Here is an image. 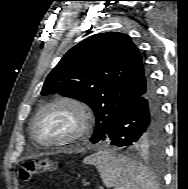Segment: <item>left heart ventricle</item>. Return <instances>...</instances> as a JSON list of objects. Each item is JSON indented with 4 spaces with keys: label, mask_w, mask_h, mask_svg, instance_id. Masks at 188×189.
<instances>
[{
    "label": "left heart ventricle",
    "mask_w": 188,
    "mask_h": 189,
    "mask_svg": "<svg viewBox=\"0 0 188 189\" xmlns=\"http://www.w3.org/2000/svg\"><path fill=\"white\" fill-rule=\"evenodd\" d=\"M76 115L68 108H52L44 112L36 125L40 140L51 141L69 135L76 127Z\"/></svg>",
    "instance_id": "obj_1"
}]
</instances>
